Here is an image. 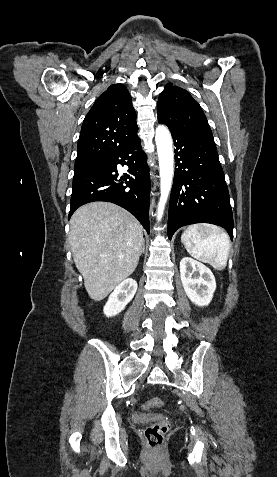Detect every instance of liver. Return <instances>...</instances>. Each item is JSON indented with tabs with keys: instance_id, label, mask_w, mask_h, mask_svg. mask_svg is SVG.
<instances>
[{
	"instance_id": "1",
	"label": "liver",
	"mask_w": 277,
	"mask_h": 477,
	"mask_svg": "<svg viewBox=\"0 0 277 477\" xmlns=\"http://www.w3.org/2000/svg\"><path fill=\"white\" fill-rule=\"evenodd\" d=\"M69 241L88 295L101 301L136 269L143 228L125 209L92 202L71 217Z\"/></svg>"
}]
</instances>
